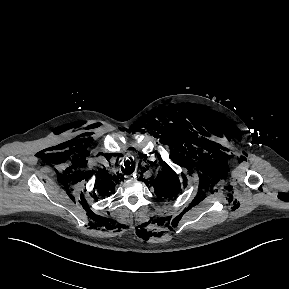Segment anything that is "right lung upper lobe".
I'll use <instances>...</instances> for the list:
<instances>
[{
  "instance_id": "cb5924a9",
  "label": "right lung upper lobe",
  "mask_w": 289,
  "mask_h": 289,
  "mask_svg": "<svg viewBox=\"0 0 289 289\" xmlns=\"http://www.w3.org/2000/svg\"><path fill=\"white\" fill-rule=\"evenodd\" d=\"M117 183L119 182L115 177L113 179L108 175L106 170H101L96 182L99 195L108 196L109 194L114 193L115 184Z\"/></svg>"
}]
</instances>
